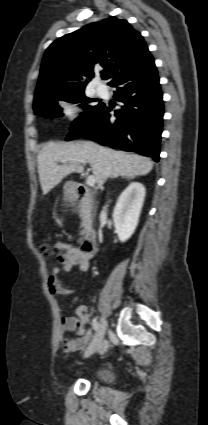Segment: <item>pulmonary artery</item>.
<instances>
[{
  "mask_svg": "<svg viewBox=\"0 0 208 425\" xmlns=\"http://www.w3.org/2000/svg\"><path fill=\"white\" fill-rule=\"evenodd\" d=\"M96 91L99 95H106L107 94V87L103 84H99L96 86Z\"/></svg>",
  "mask_w": 208,
  "mask_h": 425,
  "instance_id": "1",
  "label": "pulmonary artery"
}]
</instances>
